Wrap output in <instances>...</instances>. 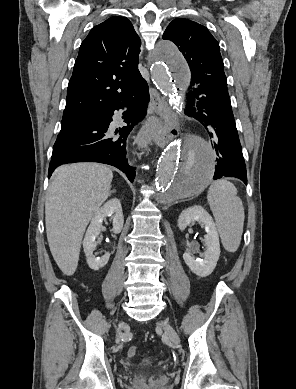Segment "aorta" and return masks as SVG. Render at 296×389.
I'll use <instances>...</instances> for the list:
<instances>
[{"mask_svg":"<svg viewBox=\"0 0 296 389\" xmlns=\"http://www.w3.org/2000/svg\"><path fill=\"white\" fill-rule=\"evenodd\" d=\"M151 77L169 96V104L181 112V100L191 95L189 69L177 47L161 41L155 50ZM214 154L208 143L189 135L170 144L157 165L155 185L160 202L197 194L215 171Z\"/></svg>","mask_w":296,"mask_h":389,"instance_id":"aorta-1","label":"aorta"}]
</instances>
